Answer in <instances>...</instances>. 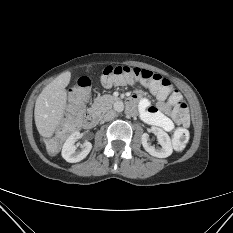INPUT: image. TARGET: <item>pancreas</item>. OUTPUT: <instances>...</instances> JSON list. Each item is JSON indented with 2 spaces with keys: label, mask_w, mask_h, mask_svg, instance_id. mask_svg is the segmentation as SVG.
<instances>
[{
  "label": "pancreas",
  "mask_w": 233,
  "mask_h": 233,
  "mask_svg": "<svg viewBox=\"0 0 233 233\" xmlns=\"http://www.w3.org/2000/svg\"><path fill=\"white\" fill-rule=\"evenodd\" d=\"M116 97L105 94L94 99V103L90 108V113L96 116H102L107 110L111 109Z\"/></svg>",
  "instance_id": "pancreas-1"
}]
</instances>
